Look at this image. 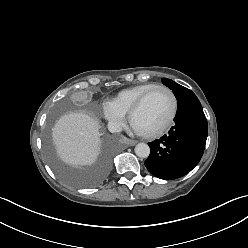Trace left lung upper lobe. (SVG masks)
<instances>
[{
  "instance_id": "obj_1",
  "label": "left lung upper lobe",
  "mask_w": 248,
  "mask_h": 248,
  "mask_svg": "<svg viewBox=\"0 0 248 248\" xmlns=\"http://www.w3.org/2000/svg\"><path fill=\"white\" fill-rule=\"evenodd\" d=\"M162 83L173 91L174 95L177 98V102L182 101L183 99L186 98V96L190 95V93L192 92L186 87L181 86L178 83L167 78H163Z\"/></svg>"
}]
</instances>
